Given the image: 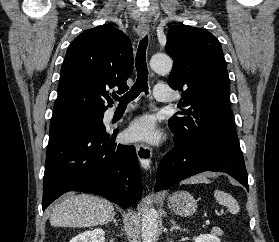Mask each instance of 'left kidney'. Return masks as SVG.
Masks as SVG:
<instances>
[{"instance_id":"1","label":"left kidney","mask_w":279,"mask_h":242,"mask_svg":"<svg viewBox=\"0 0 279 242\" xmlns=\"http://www.w3.org/2000/svg\"><path fill=\"white\" fill-rule=\"evenodd\" d=\"M194 242H221L214 234H202L193 238Z\"/></svg>"}]
</instances>
